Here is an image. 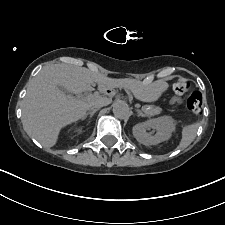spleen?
<instances>
[{"instance_id": "3e777b00", "label": "spleen", "mask_w": 225, "mask_h": 225, "mask_svg": "<svg viewBox=\"0 0 225 225\" xmlns=\"http://www.w3.org/2000/svg\"><path fill=\"white\" fill-rule=\"evenodd\" d=\"M198 127L199 123H193L182 128V138L178 145L180 149L188 147L193 142L196 137Z\"/></svg>"}]
</instances>
